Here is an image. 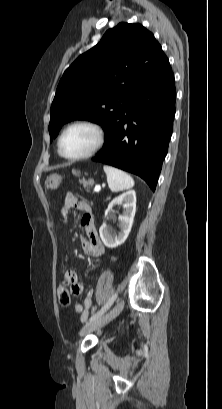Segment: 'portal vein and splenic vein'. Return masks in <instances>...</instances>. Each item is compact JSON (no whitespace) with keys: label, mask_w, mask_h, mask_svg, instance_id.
Here are the masks:
<instances>
[{"label":"portal vein and splenic vein","mask_w":222,"mask_h":409,"mask_svg":"<svg viewBox=\"0 0 222 409\" xmlns=\"http://www.w3.org/2000/svg\"><path fill=\"white\" fill-rule=\"evenodd\" d=\"M101 190L100 185L95 186L94 188V192H99Z\"/></svg>","instance_id":"1"}]
</instances>
